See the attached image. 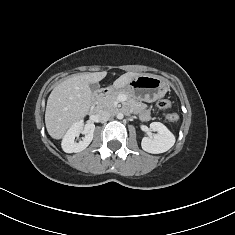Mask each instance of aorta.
Here are the masks:
<instances>
[{
	"label": "aorta",
	"mask_w": 235,
	"mask_h": 235,
	"mask_svg": "<svg viewBox=\"0 0 235 235\" xmlns=\"http://www.w3.org/2000/svg\"><path fill=\"white\" fill-rule=\"evenodd\" d=\"M123 117H124L123 113L119 112V113L117 114V118H118V119H123Z\"/></svg>",
	"instance_id": "1"
}]
</instances>
